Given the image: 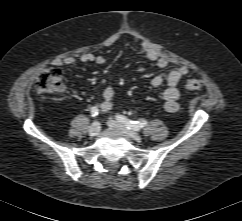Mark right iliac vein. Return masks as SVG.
<instances>
[{"mask_svg":"<svg viewBox=\"0 0 242 221\" xmlns=\"http://www.w3.org/2000/svg\"><path fill=\"white\" fill-rule=\"evenodd\" d=\"M99 132H100V124L99 122L95 121L89 127V135L94 137L98 135Z\"/></svg>","mask_w":242,"mask_h":221,"instance_id":"1","label":"right iliac vein"}]
</instances>
